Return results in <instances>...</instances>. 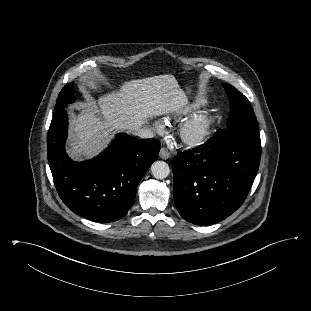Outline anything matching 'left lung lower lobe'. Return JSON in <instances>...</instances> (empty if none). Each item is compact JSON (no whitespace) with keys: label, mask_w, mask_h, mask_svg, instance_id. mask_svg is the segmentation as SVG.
Wrapping results in <instances>:
<instances>
[{"label":"left lung lower lobe","mask_w":311,"mask_h":311,"mask_svg":"<svg viewBox=\"0 0 311 311\" xmlns=\"http://www.w3.org/2000/svg\"><path fill=\"white\" fill-rule=\"evenodd\" d=\"M261 156L260 135L246 129L215 134L172 161L173 196L180 215L196 225L215 224L246 199Z\"/></svg>","instance_id":"left-lung-lower-lobe-1"}]
</instances>
